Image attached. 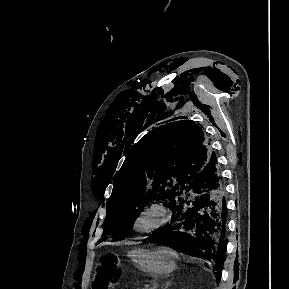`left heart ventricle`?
<instances>
[{
    "instance_id": "left-heart-ventricle-1",
    "label": "left heart ventricle",
    "mask_w": 289,
    "mask_h": 289,
    "mask_svg": "<svg viewBox=\"0 0 289 289\" xmlns=\"http://www.w3.org/2000/svg\"><path fill=\"white\" fill-rule=\"evenodd\" d=\"M159 214L156 211H151L146 214L138 223L139 228H149L159 222Z\"/></svg>"
}]
</instances>
